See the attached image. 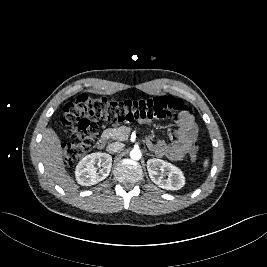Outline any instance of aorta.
<instances>
[{
	"instance_id": "obj_1",
	"label": "aorta",
	"mask_w": 267,
	"mask_h": 267,
	"mask_svg": "<svg viewBox=\"0 0 267 267\" xmlns=\"http://www.w3.org/2000/svg\"><path fill=\"white\" fill-rule=\"evenodd\" d=\"M141 156H142L141 151L138 150V149H134V150H132L130 152V157L133 160H140L141 159Z\"/></svg>"
}]
</instances>
